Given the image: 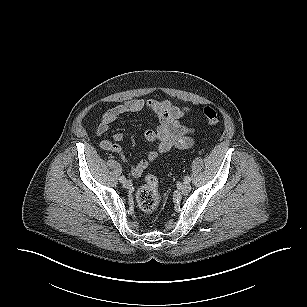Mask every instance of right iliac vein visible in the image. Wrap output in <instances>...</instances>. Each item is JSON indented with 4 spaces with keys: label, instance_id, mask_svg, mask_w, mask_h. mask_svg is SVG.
<instances>
[{
    "label": "right iliac vein",
    "instance_id": "obj_1",
    "mask_svg": "<svg viewBox=\"0 0 307 307\" xmlns=\"http://www.w3.org/2000/svg\"><path fill=\"white\" fill-rule=\"evenodd\" d=\"M123 187L126 188V189H129L132 187V182L129 181V180H126L124 183H123Z\"/></svg>",
    "mask_w": 307,
    "mask_h": 307
}]
</instances>
